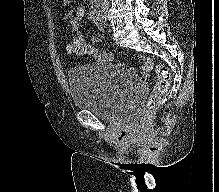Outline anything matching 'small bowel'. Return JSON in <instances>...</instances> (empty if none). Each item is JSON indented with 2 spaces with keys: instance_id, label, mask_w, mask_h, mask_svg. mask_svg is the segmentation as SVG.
<instances>
[{
  "instance_id": "1",
  "label": "small bowel",
  "mask_w": 219,
  "mask_h": 192,
  "mask_svg": "<svg viewBox=\"0 0 219 192\" xmlns=\"http://www.w3.org/2000/svg\"><path fill=\"white\" fill-rule=\"evenodd\" d=\"M89 3H90V9H89V14H88V19L93 20L96 16V11L94 9L95 0H89ZM85 14H86L85 8L83 6H78L75 9V12L71 15L70 23H71L72 30L75 33V38H82L83 39L82 33H81V22L85 18ZM92 41H93V43H99L101 41V39L99 36H93ZM102 54H109L110 55V53H108L106 51H101L100 54L97 55L99 60H101L102 62H106L103 59ZM150 68H151V62H147L146 66H145V72L143 73V78L147 79L149 77L147 71ZM131 71L134 73L136 72V70L134 68H132Z\"/></svg>"
}]
</instances>
